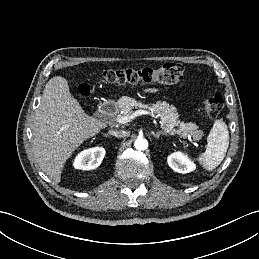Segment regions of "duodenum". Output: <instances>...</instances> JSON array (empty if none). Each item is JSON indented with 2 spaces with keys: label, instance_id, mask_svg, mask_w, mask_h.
Returning <instances> with one entry per match:
<instances>
[{
  "label": "duodenum",
  "instance_id": "duodenum-1",
  "mask_svg": "<svg viewBox=\"0 0 259 259\" xmlns=\"http://www.w3.org/2000/svg\"><path fill=\"white\" fill-rule=\"evenodd\" d=\"M116 110L115 103L112 101L104 102L99 106V113L103 117H111L114 115Z\"/></svg>",
  "mask_w": 259,
  "mask_h": 259
}]
</instances>
